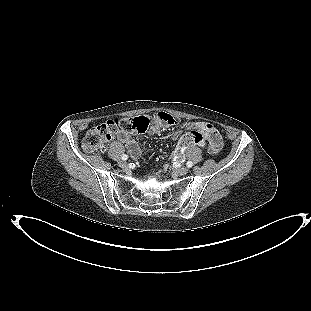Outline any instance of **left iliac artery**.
<instances>
[{"instance_id":"44dca946","label":"left iliac artery","mask_w":311,"mask_h":311,"mask_svg":"<svg viewBox=\"0 0 311 311\" xmlns=\"http://www.w3.org/2000/svg\"><path fill=\"white\" fill-rule=\"evenodd\" d=\"M186 165L188 168H191L193 166V163H192V161H188Z\"/></svg>"}]
</instances>
